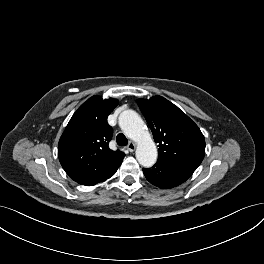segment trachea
Here are the masks:
<instances>
[{"mask_svg":"<svg viewBox=\"0 0 264 264\" xmlns=\"http://www.w3.org/2000/svg\"><path fill=\"white\" fill-rule=\"evenodd\" d=\"M116 141H117V144L119 146H126L128 144V140L127 138L125 137L124 134L122 133H119L116 137Z\"/></svg>","mask_w":264,"mask_h":264,"instance_id":"3493384b","label":"trachea"}]
</instances>
